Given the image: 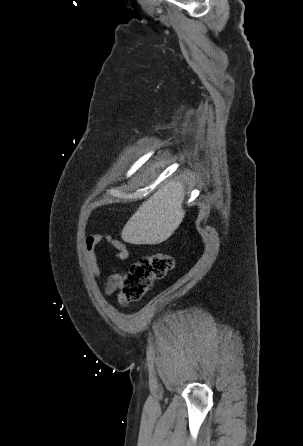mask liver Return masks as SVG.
I'll return each mask as SVG.
<instances>
[{
  "mask_svg": "<svg viewBox=\"0 0 303 446\" xmlns=\"http://www.w3.org/2000/svg\"><path fill=\"white\" fill-rule=\"evenodd\" d=\"M184 196L185 188L179 181L159 188L125 224L121 232L123 241L155 245L167 240L185 216Z\"/></svg>",
  "mask_w": 303,
  "mask_h": 446,
  "instance_id": "6515ba94",
  "label": "liver"
}]
</instances>
